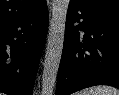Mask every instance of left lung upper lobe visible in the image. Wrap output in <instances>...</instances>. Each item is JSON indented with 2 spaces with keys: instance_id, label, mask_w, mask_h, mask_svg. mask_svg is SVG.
I'll return each mask as SVG.
<instances>
[{
  "instance_id": "obj_1",
  "label": "left lung upper lobe",
  "mask_w": 119,
  "mask_h": 95,
  "mask_svg": "<svg viewBox=\"0 0 119 95\" xmlns=\"http://www.w3.org/2000/svg\"><path fill=\"white\" fill-rule=\"evenodd\" d=\"M99 13L119 17V0H73Z\"/></svg>"
}]
</instances>
